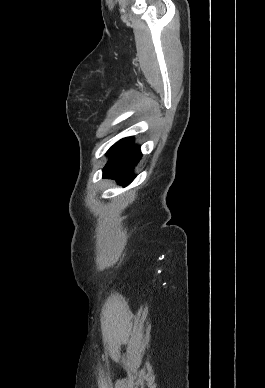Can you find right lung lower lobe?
<instances>
[{"label": "right lung lower lobe", "instance_id": "1", "mask_svg": "<svg viewBox=\"0 0 265 388\" xmlns=\"http://www.w3.org/2000/svg\"><path fill=\"white\" fill-rule=\"evenodd\" d=\"M108 155L110 160L103 168V178L116 179L124 186L130 184L135 178L132 170L142 156L140 147L133 145L132 137H127L115 143Z\"/></svg>", "mask_w": 265, "mask_h": 388}]
</instances>
